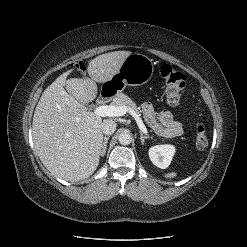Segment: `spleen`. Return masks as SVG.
Instances as JSON below:
<instances>
[{
	"instance_id": "1",
	"label": "spleen",
	"mask_w": 247,
	"mask_h": 247,
	"mask_svg": "<svg viewBox=\"0 0 247 247\" xmlns=\"http://www.w3.org/2000/svg\"><path fill=\"white\" fill-rule=\"evenodd\" d=\"M176 175H177V173L171 172V173L166 174L165 177H167V178H174V177H176Z\"/></svg>"
}]
</instances>
